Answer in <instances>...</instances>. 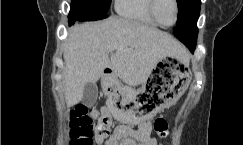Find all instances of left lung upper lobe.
<instances>
[{
    "label": "left lung upper lobe",
    "mask_w": 243,
    "mask_h": 145,
    "mask_svg": "<svg viewBox=\"0 0 243 145\" xmlns=\"http://www.w3.org/2000/svg\"><path fill=\"white\" fill-rule=\"evenodd\" d=\"M177 5L178 20L186 19L190 24L196 25L200 14L201 0H177ZM184 32L185 30L180 25L175 27L174 34L177 38Z\"/></svg>",
    "instance_id": "left-lung-upper-lobe-1"
}]
</instances>
